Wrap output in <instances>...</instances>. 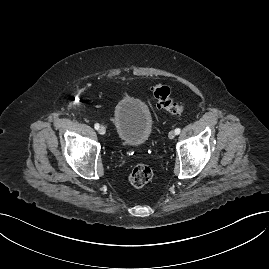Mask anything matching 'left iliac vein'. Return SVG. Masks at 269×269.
<instances>
[{
  "mask_svg": "<svg viewBox=\"0 0 269 269\" xmlns=\"http://www.w3.org/2000/svg\"><path fill=\"white\" fill-rule=\"evenodd\" d=\"M175 136H176V133H175V131H173V130H171V131L169 132V134H168L169 139H174Z\"/></svg>",
  "mask_w": 269,
  "mask_h": 269,
  "instance_id": "4c4485c4",
  "label": "left iliac vein"
}]
</instances>
